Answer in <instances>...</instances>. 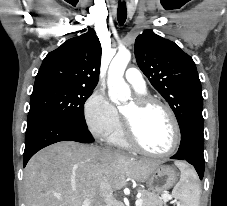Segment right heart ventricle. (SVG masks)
I'll use <instances>...</instances> for the list:
<instances>
[{"mask_svg":"<svg viewBox=\"0 0 227 206\" xmlns=\"http://www.w3.org/2000/svg\"><path fill=\"white\" fill-rule=\"evenodd\" d=\"M108 139L115 146L126 148V149L130 148V145L128 144V142L124 137L123 128L120 123L118 127L108 136Z\"/></svg>","mask_w":227,"mask_h":206,"instance_id":"obj_1","label":"right heart ventricle"}]
</instances>
